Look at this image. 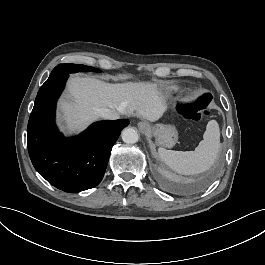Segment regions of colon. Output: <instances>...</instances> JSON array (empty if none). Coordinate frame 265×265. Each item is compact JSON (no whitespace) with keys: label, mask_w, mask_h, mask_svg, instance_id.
I'll list each match as a JSON object with an SVG mask.
<instances>
[{"label":"colon","mask_w":265,"mask_h":265,"mask_svg":"<svg viewBox=\"0 0 265 265\" xmlns=\"http://www.w3.org/2000/svg\"><path fill=\"white\" fill-rule=\"evenodd\" d=\"M172 100L178 112L188 118L196 119L203 112L207 113L205 109L211 100V95L202 85L192 84L188 87L179 85L172 92Z\"/></svg>","instance_id":"5ec220e1"}]
</instances>
